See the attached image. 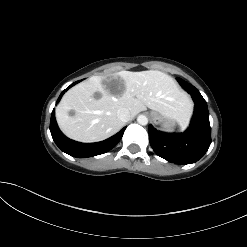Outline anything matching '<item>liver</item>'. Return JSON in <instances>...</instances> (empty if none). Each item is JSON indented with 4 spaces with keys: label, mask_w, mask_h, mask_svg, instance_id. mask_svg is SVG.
Masks as SVG:
<instances>
[{
    "label": "liver",
    "mask_w": 247,
    "mask_h": 247,
    "mask_svg": "<svg viewBox=\"0 0 247 247\" xmlns=\"http://www.w3.org/2000/svg\"><path fill=\"white\" fill-rule=\"evenodd\" d=\"M110 84H116L114 88ZM100 93V98L94 94ZM150 108L185 128L192 112V102L169 75L148 70L120 71L107 76H92L68 90L56 108V120L69 138L92 143L103 141L124 125L117 117L127 108L131 118ZM75 112L74 116L69 111Z\"/></svg>",
    "instance_id": "6515ba94"
}]
</instances>
